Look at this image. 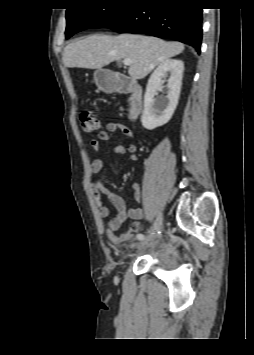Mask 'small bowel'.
<instances>
[{"label":"small bowel","mask_w":254,"mask_h":355,"mask_svg":"<svg viewBox=\"0 0 254 355\" xmlns=\"http://www.w3.org/2000/svg\"><path fill=\"white\" fill-rule=\"evenodd\" d=\"M121 131L130 141L133 140L134 135L132 130L125 124L119 122H110L106 125L105 129L100 131L96 139L91 140L90 146L94 151H99L101 142H108L110 137L117 131ZM114 153L117 156L127 155L129 160L136 161V146L133 143L128 145H116ZM104 162L101 158L95 159L91 163V172L94 174L99 173L103 168ZM132 192L135 201H141V191L138 184L132 185ZM91 194L95 204L98 207V213L101 219L106 221V234L109 240L114 244H122L133 239L134 235L141 230V220L144 217V211L140 208L127 206L124 198L119 194L108 189L100 179H95L91 185ZM102 196H106L110 204L115 208L117 214L110 218V211L108 207L103 205ZM132 219L133 222L129 229L122 233H117L120 226L127 220Z\"/></svg>","instance_id":"c3829d8e"}]
</instances>
